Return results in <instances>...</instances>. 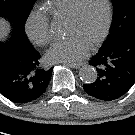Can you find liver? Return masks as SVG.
I'll return each mask as SVG.
<instances>
[{"label":"liver","mask_w":135,"mask_h":135,"mask_svg":"<svg viewBox=\"0 0 135 135\" xmlns=\"http://www.w3.org/2000/svg\"><path fill=\"white\" fill-rule=\"evenodd\" d=\"M10 25L5 20H0V40L8 36Z\"/></svg>","instance_id":"obj_1"}]
</instances>
